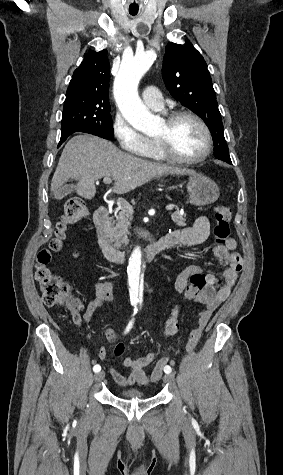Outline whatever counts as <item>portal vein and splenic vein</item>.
<instances>
[{"mask_svg": "<svg viewBox=\"0 0 283 475\" xmlns=\"http://www.w3.org/2000/svg\"><path fill=\"white\" fill-rule=\"evenodd\" d=\"M104 184H112L111 178H103ZM123 202H126V200H118L117 204L119 208H123L122 212L124 210H129V212H133L132 206L130 204H123ZM174 206L173 204H169V206H166V210H173Z\"/></svg>", "mask_w": 283, "mask_h": 475, "instance_id": "18ae733b", "label": "portal vein and splenic vein"}]
</instances>
